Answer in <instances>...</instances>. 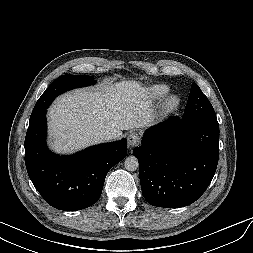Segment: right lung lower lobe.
Wrapping results in <instances>:
<instances>
[{"label":"right lung lower lobe","mask_w":253,"mask_h":253,"mask_svg":"<svg viewBox=\"0 0 253 253\" xmlns=\"http://www.w3.org/2000/svg\"><path fill=\"white\" fill-rule=\"evenodd\" d=\"M46 129V110L30 118L25 164L33 185L54 208L74 211L93 205L101 196L108 171L126 156V139L59 156L46 146Z\"/></svg>","instance_id":"obj_1"}]
</instances>
